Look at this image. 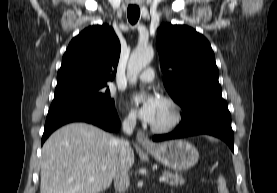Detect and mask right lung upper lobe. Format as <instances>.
<instances>
[{"label":"right lung upper lobe","mask_w":277,"mask_h":193,"mask_svg":"<svg viewBox=\"0 0 277 193\" xmlns=\"http://www.w3.org/2000/svg\"><path fill=\"white\" fill-rule=\"evenodd\" d=\"M120 49L110 26L86 28L72 39L63 55L55 92L107 85L116 73Z\"/></svg>","instance_id":"1"}]
</instances>
